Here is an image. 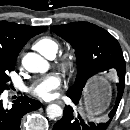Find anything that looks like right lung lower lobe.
<instances>
[{
    "mask_svg": "<svg viewBox=\"0 0 130 130\" xmlns=\"http://www.w3.org/2000/svg\"><path fill=\"white\" fill-rule=\"evenodd\" d=\"M3 91H0V96ZM41 107V103L27 96H20L11 108H5L0 98V130H20V120L27 112Z\"/></svg>",
    "mask_w": 130,
    "mask_h": 130,
    "instance_id": "right-lung-lower-lobe-1",
    "label": "right lung lower lobe"
}]
</instances>
